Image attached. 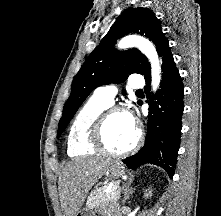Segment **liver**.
<instances>
[{
  "instance_id": "6515ba94",
  "label": "liver",
  "mask_w": 221,
  "mask_h": 216,
  "mask_svg": "<svg viewBox=\"0 0 221 216\" xmlns=\"http://www.w3.org/2000/svg\"><path fill=\"white\" fill-rule=\"evenodd\" d=\"M114 161L110 158H76L68 162L59 178V197L63 216H76L92 186Z\"/></svg>"
}]
</instances>
